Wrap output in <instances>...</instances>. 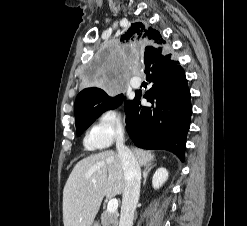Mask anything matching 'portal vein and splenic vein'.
<instances>
[{
  "label": "portal vein and splenic vein",
  "mask_w": 247,
  "mask_h": 226,
  "mask_svg": "<svg viewBox=\"0 0 247 226\" xmlns=\"http://www.w3.org/2000/svg\"><path fill=\"white\" fill-rule=\"evenodd\" d=\"M95 182L96 180H93V183ZM117 208H118V200L116 198L111 199L107 205V212L114 213L117 211Z\"/></svg>",
  "instance_id": "1"
}]
</instances>
